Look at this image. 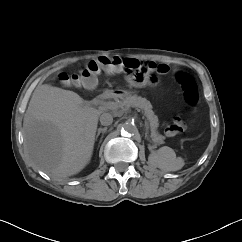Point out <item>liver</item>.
<instances>
[{
    "mask_svg": "<svg viewBox=\"0 0 242 242\" xmlns=\"http://www.w3.org/2000/svg\"><path fill=\"white\" fill-rule=\"evenodd\" d=\"M100 111L75 92L38 85L24 115V144L33 165L62 179L90 161Z\"/></svg>",
    "mask_w": 242,
    "mask_h": 242,
    "instance_id": "obj_1",
    "label": "liver"
}]
</instances>
